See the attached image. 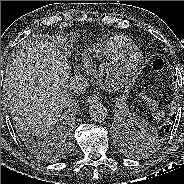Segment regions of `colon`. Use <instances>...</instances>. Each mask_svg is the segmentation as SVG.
Here are the masks:
<instances>
[{"instance_id": "1", "label": "colon", "mask_w": 184, "mask_h": 184, "mask_svg": "<svg viewBox=\"0 0 184 184\" xmlns=\"http://www.w3.org/2000/svg\"><path fill=\"white\" fill-rule=\"evenodd\" d=\"M164 65L165 63L162 59H156L153 63L154 68L157 70L163 69Z\"/></svg>"}]
</instances>
